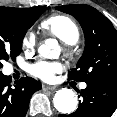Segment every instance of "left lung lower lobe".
<instances>
[{"instance_id":"0a47b994","label":"left lung lower lobe","mask_w":117,"mask_h":117,"mask_svg":"<svg viewBox=\"0 0 117 117\" xmlns=\"http://www.w3.org/2000/svg\"><path fill=\"white\" fill-rule=\"evenodd\" d=\"M81 96L83 101L76 112L58 117H111L117 108V78L91 80Z\"/></svg>"}]
</instances>
